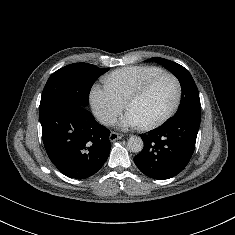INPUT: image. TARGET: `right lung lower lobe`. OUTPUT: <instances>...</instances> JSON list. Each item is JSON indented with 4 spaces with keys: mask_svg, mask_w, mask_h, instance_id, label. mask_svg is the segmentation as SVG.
I'll return each instance as SVG.
<instances>
[{
    "mask_svg": "<svg viewBox=\"0 0 235 235\" xmlns=\"http://www.w3.org/2000/svg\"><path fill=\"white\" fill-rule=\"evenodd\" d=\"M43 143L51 162L64 175L84 179L106 162L110 131L72 102L56 103L39 113Z\"/></svg>",
    "mask_w": 235,
    "mask_h": 235,
    "instance_id": "obj_1",
    "label": "right lung lower lobe"
}]
</instances>
